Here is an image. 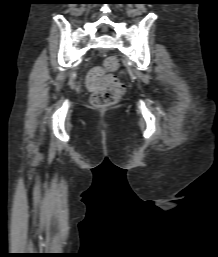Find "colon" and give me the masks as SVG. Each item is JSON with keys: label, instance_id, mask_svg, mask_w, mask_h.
Wrapping results in <instances>:
<instances>
[{"label": "colon", "instance_id": "colon-1", "mask_svg": "<svg viewBox=\"0 0 218 257\" xmlns=\"http://www.w3.org/2000/svg\"><path fill=\"white\" fill-rule=\"evenodd\" d=\"M119 68V61L109 56L104 61V69L114 72ZM127 78V75H124ZM131 78V75H128ZM89 90L92 92L91 102L96 107H105L115 104L125 91L124 84L111 74L105 75L100 67L92 68L86 78Z\"/></svg>", "mask_w": 218, "mask_h": 257}]
</instances>
